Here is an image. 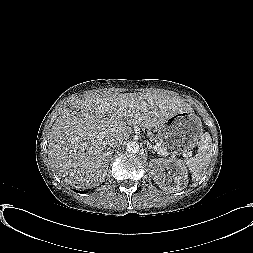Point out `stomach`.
Returning a JSON list of instances; mask_svg holds the SVG:
<instances>
[{
  "label": "stomach",
  "instance_id": "1",
  "mask_svg": "<svg viewBox=\"0 0 253 253\" xmlns=\"http://www.w3.org/2000/svg\"><path fill=\"white\" fill-rule=\"evenodd\" d=\"M158 139L165 149L176 154L188 153L199 145L203 134L200 118L193 111L175 113L158 127Z\"/></svg>",
  "mask_w": 253,
  "mask_h": 253
}]
</instances>
